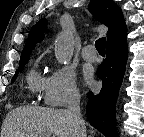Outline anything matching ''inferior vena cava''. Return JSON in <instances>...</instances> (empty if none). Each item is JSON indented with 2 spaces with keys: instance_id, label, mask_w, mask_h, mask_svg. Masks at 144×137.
I'll return each instance as SVG.
<instances>
[{
  "instance_id": "1",
  "label": "inferior vena cava",
  "mask_w": 144,
  "mask_h": 137,
  "mask_svg": "<svg viewBox=\"0 0 144 137\" xmlns=\"http://www.w3.org/2000/svg\"><path fill=\"white\" fill-rule=\"evenodd\" d=\"M68 111L74 123L76 137H86V127L80 112V94L78 92L72 93L68 102Z\"/></svg>"
}]
</instances>
